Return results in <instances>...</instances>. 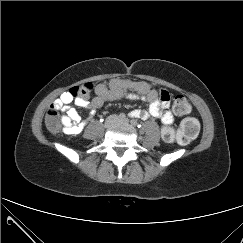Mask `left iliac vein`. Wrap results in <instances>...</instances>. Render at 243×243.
I'll return each mask as SVG.
<instances>
[{
  "mask_svg": "<svg viewBox=\"0 0 243 243\" xmlns=\"http://www.w3.org/2000/svg\"><path fill=\"white\" fill-rule=\"evenodd\" d=\"M118 122L128 124L129 120L128 119H119Z\"/></svg>",
  "mask_w": 243,
  "mask_h": 243,
  "instance_id": "4c4485c4",
  "label": "left iliac vein"
}]
</instances>
